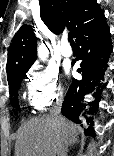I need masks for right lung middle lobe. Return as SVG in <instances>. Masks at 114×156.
Listing matches in <instances>:
<instances>
[{
  "label": "right lung middle lobe",
  "instance_id": "right-lung-middle-lobe-1",
  "mask_svg": "<svg viewBox=\"0 0 114 156\" xmlns=\"http://www.w3.org/2000/svg\"><path fill=\"white\" fill-rule=\"evenodd\" d=\"M26 76V72L22 73L20 75H17L15 77H13L8 83H9V92H10V96L13 97L11 99V104L13 107L18 108L19 107V103H18V96H15L16 93L18 92L20 85H21V81L22 79Z\"/></svg>",
  "mask_w": 114,
  "mask_h": 156
}]
</instances>
